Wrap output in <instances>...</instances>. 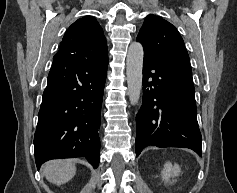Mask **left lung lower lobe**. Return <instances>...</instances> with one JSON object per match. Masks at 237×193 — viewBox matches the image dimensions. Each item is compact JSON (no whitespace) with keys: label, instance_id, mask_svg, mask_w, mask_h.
<instances>
[{"label":"left lung lower lobe","instance_id":"1","mask_svg":"<svg viewBox=\"0 0 237 193\" xmlns=\"http://www.w3.org/2000/svg\"><path fill=\"white\" fill-rule=\"evenodd\" d=\"M192 75L144 55L143 103L136 117V156L144 147L202 152Z\"/></svg>","mask_w":237,"mask_h":193}]
</instances>
